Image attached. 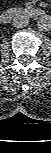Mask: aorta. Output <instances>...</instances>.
Wrapping results in <instances>:
<instances>
[{
  "instance_id": "762f6f07",
  "label": "aorta",
  "mask_w": 51,
  "mask_h": 153,
  "mask_svg": "<svg viewBox=\"0 0 51 153\" xmlns=\"http://www.w3.org/2000/svg\"><path fill=\"white\" fill-rule=\"evenodd\" d=\"M37 26L41 30H49L51 27V17L49 15H43L37 21Z\"/></svg>"
}]
</instances>
